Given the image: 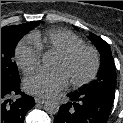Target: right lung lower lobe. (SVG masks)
I'll list each match as a JSON object with an SVG mask.
<instances>
[{
    "instance_id": "right-lung-lower-lobe-1",
    "label": "right lung lower lobe",
    "mask_w": 123,
    "mask_h": 123,
    "mask_svg": "<svg viewBox=\"0 0 123 123\" xmlns=\"http://www.w3.org/2000/svg\"><path fill=\"white\" fill-rule=\"evenodd\" d=\"M20 83L13 84L1 80V123H23L24 117L34 105V98L21 92ZM11 95H21L16 101H10Z\"/></svg>"
}]
</instances>
